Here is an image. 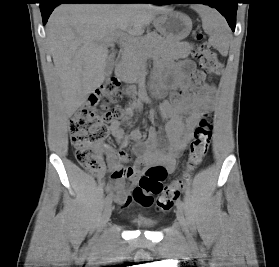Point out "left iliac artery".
<instances>
[{"label":"left iliac artery","mask_w":279,"mask_h":267,"mask_svg":"<svg viewBox=\"0 0 279 267\" xmlns=\"http://www.w3.org/2000/svg\"><path fill=\"white\" fill-rule=\"evenodd\" d=\"M177 208L179 209H184V203L181 200H178L176 203Z\"/></svg>","instance_id":"44dca946"}]
</instances>
